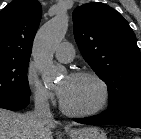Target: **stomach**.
Segmentation results:
<instances>
[{
    "label": "stomach",
    "mask_w": 141,
    "mask_h": 139,
    "mask_svg": "<svg viewBox=\"0 0 141 139\" xmlns=\"http://www.w3.org/2000/svg\"><path fill=\"white\" fill-rule=\"evenodd\" d=\"M71 139H107L106 134L98 127L90 126L70 132Z\"/></svg>",
    "instance_id": "stomach-1"
}]
</instances>
